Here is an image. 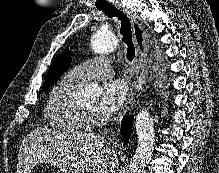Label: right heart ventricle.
<instances>
[{
	"label": "right heart ventricle",
	"instance_id": "e07e8e85",
	"mask_svg": "<svg viewBox=\"0 0 219 173\" xmlns=\"http://www.w3.org/2000/svg\"><path fill=\"white\" fill-rule=\"evenodd\" d=\"M80 86L65 76L53 87L45 108V118L50 128L66 133L87 129L88 118L81 114L75 101Z\"/></svg>",
	"mask_w": 219,
	"mask_h": 173
}]
</instances>
